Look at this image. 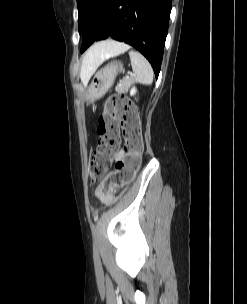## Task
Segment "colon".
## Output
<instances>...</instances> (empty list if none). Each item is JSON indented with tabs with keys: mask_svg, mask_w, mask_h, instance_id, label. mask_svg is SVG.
Segmentation results:
<instances>
[{
	"mask_svg": "<svg viewBox=\"0 0 247 304\" xmlns=\"http://www.w3.org/2000/svg\"><path fill=\"white\" fill-rule=\"evenodd\" d=\"M99 143L90 163V177L98 184V195L111 201L116 190L128 185L141 164L143 140L141 121L135 105L124 95L109 96L98 125ZM121 134L125 139V155L114 170L110 168L120 147Z\"/></svg>",
	"mask_w": 247,
	"mask_h": 304,
	"instance_id": "1",
	"label": "colon"
}]
</instances>
